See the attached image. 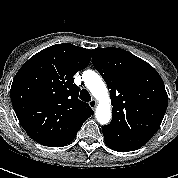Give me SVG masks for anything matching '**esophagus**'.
I'll return each instance as SVG.
<instances>
[{"label": "esophagus", "mask_w": 178, "mask_h": 178, "mask_svg": "<svg viewBox=\"0 0 178 178\" xmlns=\"http://www.w3.org/2000/svg\"><path fill=\"white\" fill-rule=\"evenodd\" d=\"M89 106H90L92 109H95L96 106H97V100L92 99V100L89 102Z\"/></svg>", "instance_id": "34e87169"}]
</instances>
